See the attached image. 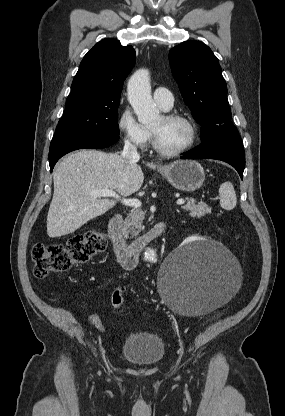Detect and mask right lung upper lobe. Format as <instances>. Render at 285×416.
Masks as SVG:
<instances>
[{
	"instance_id": "cb5924a9",
	"label": "right lung upper lobe",
	"mask_w": 285,
	"mask_h": 416,
	"mask_svg": "<svg viewBox=\"0 0 285 416\" xmlns=\"http://www.w3.org/2000/svg\"><path fill=\"white\" fill-rule=\"evenodd\" d=\"M135 50L116 39L98 42L81 61L68 97L119 99L123 82L135 64Z\"/></svg>"
}]
</instances>
